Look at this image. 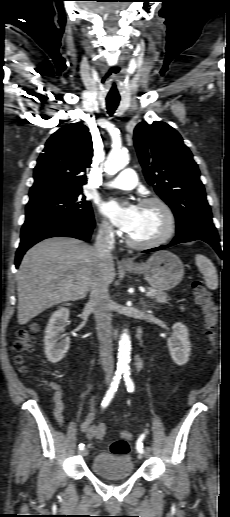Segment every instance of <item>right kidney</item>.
I'll list each match as a JSON object with an SVG mask.
<instances>
[{"label":"right kidney","mask_w":230,"mask_h":517,"mask_svg":"<svg viewBox=\"0 0 230 517\" xmlns=\"http://www.w3.org/2000/svg\"><path fill=\"white\" fill-rule=\"evenodd\" d=\"M68 318L69 309L60 308L51 315L45 329L44 350L46 358L51 363L61 361L69 350L70 339L61 335Z\"/></svg>","instance_id":"obj_1"}]
</instances>
